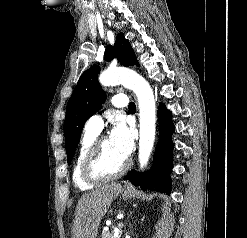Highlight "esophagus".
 I'll return each mask as SVG.
<instances>
[{
  "instance_id": "34e87169",
  "label": "esophagus",
  "mask_w": 247,
  "mask_h": 238,
  "mask_svg": "<svg viewBox=\"0 0 247 238\" xmlns=\"http://www.w3.org/2000/svg\"><path fill=\"white\" fill-rule=\"evenodd\" d=\"M126 188H127V189H129V188H130V186H129V185H126Z\"/></svg>"
}]
</instances>
